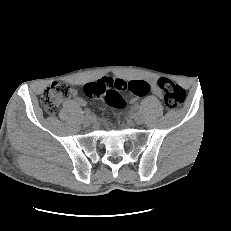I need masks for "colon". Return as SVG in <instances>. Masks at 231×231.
Listing matches in <instances>:
<instances>
[{
	"label": "colon",
	"mask_w": 231,
	"mask_h": 231,
	"mask_svg": "<svg viewBox=\"0 0 231 231\" xmlns=\"http://www.w3.org/2000/svg\"><path fill=\"white\" fill-rule=\"evenodd\" d=\"M157 86L162 91L165 104L171 109L179 108L185 100L184 90L168 78H159ZM150 86L146 81L134 80L126 82L120 79L103 78L97 82L84 86V92L91 98H103L114 108H122L125 101L122 92H131L136 96H145L149 93ZM73 94L72 87L63 82L52 83L41 97L42 105L49 115L57 112L60 104Z\"/></svg>",
	"instance_id": "obj_1"
}]
</instances>
